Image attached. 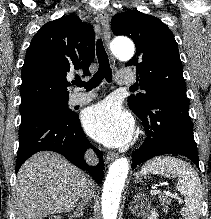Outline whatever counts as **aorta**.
<instances>
[{
    "label": "aorta",
    "instance_id": "1",
    "mask_svg": "<svg viewBox=\"0 0 211 219\" xmlns=\"http://www.w3.org/2000/svg\"><path fill=\"white\" fill-rule=\"evenodd\" d=\"M135 51L134 44L130 40L116 41L113 53L121 60H129ZM129 171V162L126 157L115 160L110 166L104 182L102 192L103 219H117L122 189Z\"/></svg>",
    "mask_w": 211,
    "mask_h": 219
}]
</instances>
